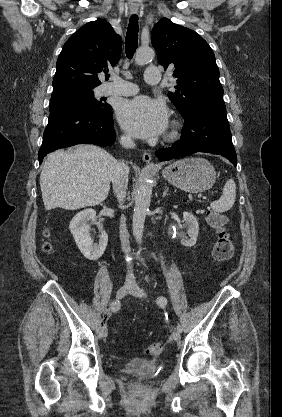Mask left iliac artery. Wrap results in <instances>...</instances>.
<instances>
[{
	"mask_svg": "<svg viewBox=\"0 0 282 417\" xmlns=\"http://www.w3.org/2000/svg\"><path fill=\"white\" fill-rule=\"evenodd\" d=\"M156 303L160 306V307H164L167 304V299L163 296H160L156 299ZM177 331L178 332H182V327L180 326V324H177Z\"/></svg>",
	"mask_w": 282,
	"mask_h": 417,
	"instance_id": "left-iliac-artery-1",
	"label": "left iliac artery"
}]
</instances>
